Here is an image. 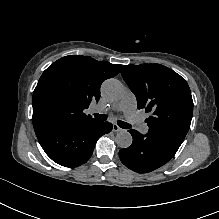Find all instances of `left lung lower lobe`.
I'll return each mask as SVG.
<instances>
[{
	"label": "left lung lower lobe",
	"mask_w": 219,
	"mask_h": 219,
	"mask_svg": "<svg viewBox=\"0 0 219 219\" xmlns=\"http://www.w3.org/2000/svg\"><path fill=\"white\" fill-rule=\"evenodd\" d=\"M133 142L128 148L119 151L121 162L129 169L138 173H148L166 164L175 151L164 144L151 139L148 134L136 130L129 131Z\"/></svg>",
	"instance_id": "obj_1"
}]
</instances>
